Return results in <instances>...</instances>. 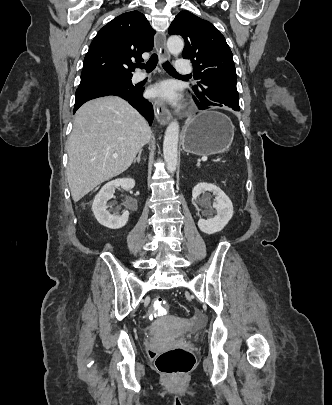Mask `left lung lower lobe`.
Instances as JSON below:
<instances>
[{
	"label": "left lung lower lobe",
	"instance_id": "0a47b994",
	"mask_svg": "<svg viewBox=\"0 0 332 405\" xmlns=\"http://www.w3.org/2000/svg\"><path fill=\"white\" fill-rule=\"evenodd\" d=\"M195 101H196L197 105L199 106V109H201V110H204V109H205L204 107L201 106V104H200L199 101H197L196 99H195ZM201 103H202V102H201ZM202 104H203V103H202Z\"/></svg>",
	"mask_w": 332,
	"mask_h": 405
}]
</instances>
